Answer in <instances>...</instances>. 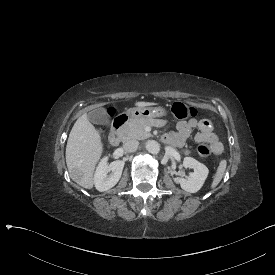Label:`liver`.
I'll list each match as a JSON object with an SVG mask.
<instances>
[{
	"label": "liver",
	"instance_id": "1",
	"mask_svg": "<svg viewBox=\"0 0 275 275\" xmlns=\"http://www.w3.org/2000/svg\"><path fill=\"white\" fill-rule=\"evenodd\" d=\"M156 102L136 101L134 106L157 105ZM101 133L89 121L84 113L75 121L67 140L66 165L69 173L77 168L83 172V181L79 185L85 189L94 188V173L105 150Z\"/></svg>",
	"mask_w": 275,
	"mask_h": 275
}]
</instances>
